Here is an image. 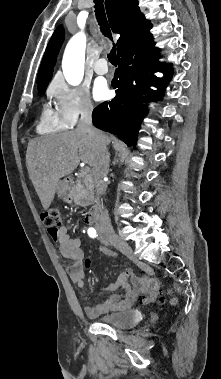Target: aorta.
<instances>
[{"instance_id": "obj_1", "label": "aorta", "mask_w": 221, "mask_h": 379, "mask_svg": "<svg viewBox=\"0 0 221 379\" xmlns=\"http://www.w3.org/2000/svg\"><path fill=\"white\" fill-rule=\"evenodd\" d=\"M85 47L86 37L78 33L70 39L63 55V74L73 86L79 85L84 76Z\"/></svg>"}]
</instances>
